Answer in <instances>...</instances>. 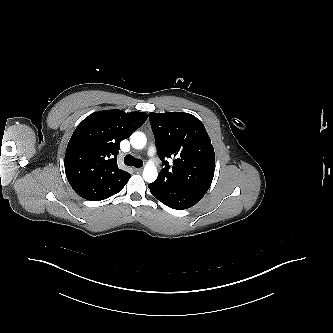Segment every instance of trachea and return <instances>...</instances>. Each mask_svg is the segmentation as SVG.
<instances>
[{"label":"trachea","mask_w":333,"mask_h":333,"mask_svg":"<svg viewBox=\"0 0 333 333\" xmlns=\"http://www.w3.org/2000/svg\"><path fill=\"white\" fill-rule=\"evenodd\" d=\"M124 163L127 166H134L136 168H140L143 166V161L141 159H137L130 154L125 156Z\"/></svg>","instance_id":"trachea-1"}]
</instances>
